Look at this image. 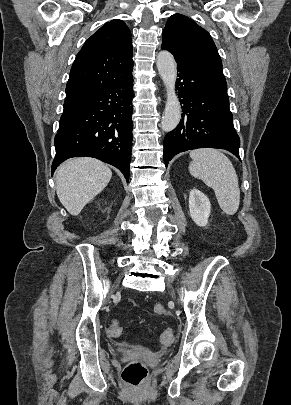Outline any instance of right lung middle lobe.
I'll list each match as a JSON object with an SVG mask.
<instances>
[{
  "label": "right lung middle lobe",
  "mask_w": 291,
  "mask_h": 405,
  "mask_svg": "<svg viewBox=\"0 0 291 405\" xmlns=\"http://www.w3.org/2000/svg\"><path fill=\"white\" fill-rule=\"evenodd\" d=\"M71 105H64V110H67Z\"/></svg>",
  "instance_id": "dd1d6c3e"
}]
</instances>
